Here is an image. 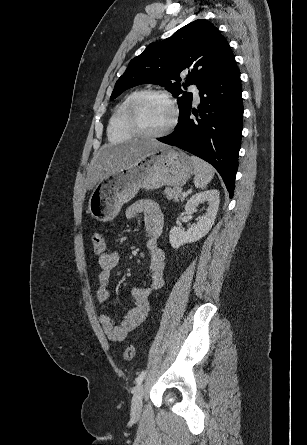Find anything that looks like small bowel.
I'll list each match as a JSON object with an SVG mask.
<instances>
[{"instance_id": "1", "label": "small bowel", "mask_w": 307, "mask_h": 445, "mask_svg": "<svg viewBox=\"0 0 307 445\" xmlns=\"http://www.w3.org/2000/svg\"><path fill=\"white\" fill-rule=\"evenodd\" d=\"M144 216L147 232V248L150 251V278L148 285L136 286L132 289L134 299L133 308L125 314L119 322L114 321L109 315L101 314L99 322L110 342H121L129 333L137 329L147 319L150 305L149 298L153 291L160 289L164 283L165 257L159 247L162 233L164 214L160 205L154 200H139L126 209L128 219ZM120 255L117 252H106L98 259L101 268L98 274L99 289L96 293L97 301L104 304L109 299V281L113 269L119 263Z\"/></svg>"}]
</instances>
